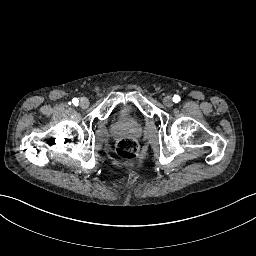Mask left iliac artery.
Wrapping results in <instances>:
<instances>
[{"instance_id": "left-iliac-artery-1", "label": "left iliac artery", "mask_w": 256, "mask_h": 256, "mask_svg": "<svg viewBox=\"0 0 256 256\" xmlns=\"http://www.w3.org/2000/svg\"><path fill=\"white\" fill-rule=\"evenodd\" d=\"M179 101H180V96L179 95H174L173 102L178 103Z\"/></svg>"}]
</instances>
